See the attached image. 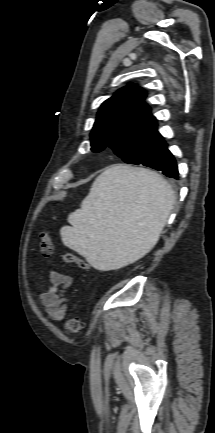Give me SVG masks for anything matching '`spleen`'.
Segmentation results:
<instances>
[{"mask_svg": "<svg viewBox=\"0 0 215 433\" xmlns=\"http://www.w3.org/2000/svg\"><path fill=\"white\" fill-rule=\"evenodd\" d=\"M174 201L172 187L158 173L113 165L69 214L62 242L98 270L119 269L155 246Z\"/></svg>", "mask_w": 215, "mask_h": 433, "instance_id": "obj_1", "label": "spleen"}]
</instances>
